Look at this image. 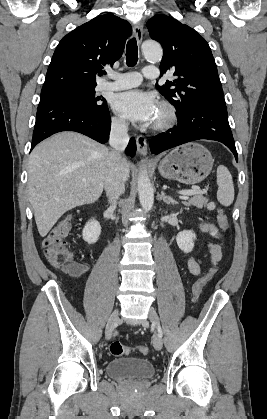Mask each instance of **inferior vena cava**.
<instances>
[{"mask_svg": "<svg viewBox=\"0 0 267 419\" xmlns=\"http://www.w3.org/2000/svg\"><path fill=\"white\" fill-rule=\"evenodd\" d=\"M129 142L128 124L123 120L112 122L109 144L112 150L107 157L104 188L111 208L116 207L118 198L124 193L126 174L123 170L122 152Z\"/></svg>", "mask_w": 267, "mask_h": 419, "instance_id": "inferior-vena-cava-1", "label": "inferior vena cava"}]
</instances>
